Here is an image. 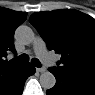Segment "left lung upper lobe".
Listing matches in <instances>:
<instances>
[{"instance_id":"obj_1","label":"left lung upper lobe","mask_w":95,"mask_h":95,"mask_svg":"<svg viewBox=\"0 0 95 95\" xmlns=\"http://www.w3.org/2000/svg\"><path fill=\"white\" fill-rule=\"evenodd\" d=\"M29 22L49 50L61 54V65L50 72L95 80V20L76 10L37 12ZM60 63V62H59Z\"/></svg>"}]
</instances>
